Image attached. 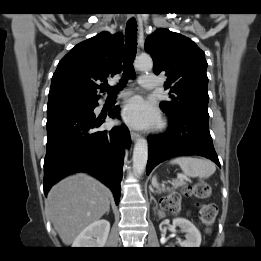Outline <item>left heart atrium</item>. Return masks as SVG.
<instances>
[{
    "label": "left heart atrium",
    "instance_id": "39dd6f15",
    "mask_svg": "<svg viewBox=\"0 0 261 261\" xmlns=\"http://www.w3.org/2000/svg\"><path fill=\"white\" fill-rule=\"evenodd\" d=\"M124 120L137 127H148L158 122V115L150 103L139 96L126 102L122 112Z\"/></svg>",
    "mask_w": 261,
    "mask_h": 261
}]
</instances>
